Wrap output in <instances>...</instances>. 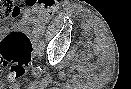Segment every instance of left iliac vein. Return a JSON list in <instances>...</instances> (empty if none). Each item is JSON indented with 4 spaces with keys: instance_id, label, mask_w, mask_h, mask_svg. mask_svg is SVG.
Instances as JSON below:
<instances>
[{
    "instance_id": "left-iliac-vein-1",
    "label": "left iliac vein",
    "mask_w": 131,
    "mask_h": 89,
    "mask_svg": "<svg viewBox=\"0 0 131 89\" xmlns=\"http://www.w3.org/2000/svg\"><path fill=\"white\" fill-rule=\"evenodd\" d=\"M41 51V47H39V52Z\"/></svg>"
}]
</instances>
